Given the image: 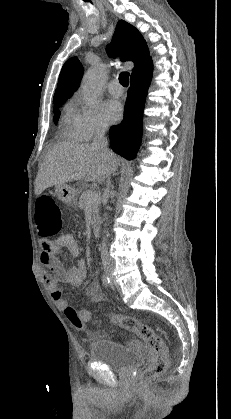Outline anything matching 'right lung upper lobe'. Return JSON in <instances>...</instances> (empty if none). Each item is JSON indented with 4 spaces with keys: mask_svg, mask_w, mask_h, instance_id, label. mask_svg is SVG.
Instances as JSON below:
<instances>
[{
    "mask_svg": "<svg viewBox=\"0 0 231 419\" xmlns=\"http://www.w3.org/2000/svg\"><path fill=\"white\" fill-rule=\"evenodd\" d=\"M107 52L113 57L121 55L122 61H133L135 66L131 74L139 71L152 61L147 44L140 32L123 20L118 22L113 40L107 46ZM82 74L83 66L77 57H72L66 61L59 75L53 101L70 97L79 87Z\"/></svg>",
    "mask_w": 231,
    "mask_h": 419,
    "instance_id": "cb5924a9",
    "label": "right lung upper lobe"
}]
</instances>
